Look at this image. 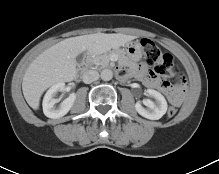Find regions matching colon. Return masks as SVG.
<instances>
[{
	"label": "colon",
	"mask_w": 219,
	"mask_h": 174,
	"mask_svg": "<svg viewBox=\"0 0 219 174\" xmlns=\"http://www.w3.org/2000/svg\"><path fill=\"white\" fill-rule=\"evenodd\" d=\"M141 44L144 49L145 63L152 68L155 74L167 79H176L181 83L184 82V78L170 54L163 53L149 39H143ZM176 113L177 109L174 107H170L167 111V115L170 118L174 117Z\"/></svg>",
	"instance_id": "colon-1"
}]
</instances>
